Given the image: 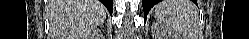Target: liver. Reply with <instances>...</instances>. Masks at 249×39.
<instances>
[{"label":"liver","mask_w":249,"mask_h":39,"mask_svg":"<svg viewBox=\"0 0 249 39\" xmlns=\"http://www.w3.org/2000/svg\"><path fill=\"white\" fill-rule=\"evenodd\" d=\"M49 9L53 25L70 39H87L107 15L98 0H51Z\"/></svg>","instance_id":"obj_1"}]
</instances>
